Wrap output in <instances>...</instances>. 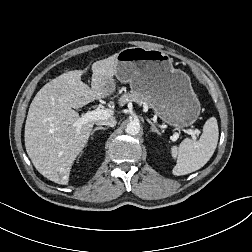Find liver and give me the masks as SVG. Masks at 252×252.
Segmentation results:
<instances>
[{"label":"liver","instance_id":"6515ba94","mask_svg":"<svg viewBox=\"0 0 252 252\" xmlns=\"http://www.w3.org/2000/svg\"><path fill=\"white\" fill-rule=\"evenodd\" d=\"M91 69V88L81 80L87 69L69 71L45 84L29 107L25 124L27 154L40 174L61 185L68 184L71 167L95 124L91 121L78 128L80 116L73 109L112 93L109 84L116 74V54L94 62ZM110 118L114 117L106 119Z\"/></svg>","mask_w":252,"mask_h":252}]
</instances>
